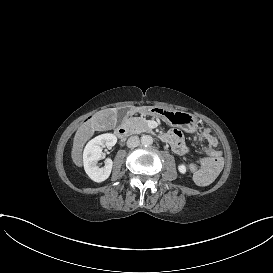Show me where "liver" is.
I'll return each mask as SVG.
<instances>
[{"label":"liver","mask_w":273,"mask_h":273,"mask_svg":"<svg viewBox=\"0 0 273 273\" xmlns=\"http://www.w3.org/2000/svg\"><path fill=\"white\" fill-rule=\"evenodd\" d=\"M120 109L121 107H115L97 111L79 125L71 148V159L76 167H83L84 146L95 132H106L116 128Z\"/></svg>","instance_id":"liver-1"}]
</instances>
